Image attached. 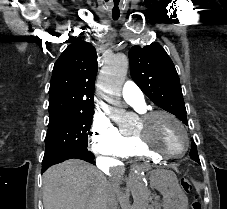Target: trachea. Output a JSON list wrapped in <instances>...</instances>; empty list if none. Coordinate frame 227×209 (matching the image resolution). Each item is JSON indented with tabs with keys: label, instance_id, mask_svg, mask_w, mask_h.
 <instances>
[{
	"label": "trachea",
	"instance_id": "1",
	"mask_svg": "<svg viewBox=\"0 0 227 209\" xmlns=\"http://www.w3.org/2000/svg\"><path fill=\"white\" fill-rule=\"evenodd\" d=\"M119 16H120L119 13H117V14H112V18H113L114 20H118Z\"/></svg>",
	"mask_w": 227,
	"mask_h": 209
}]
</instances>
